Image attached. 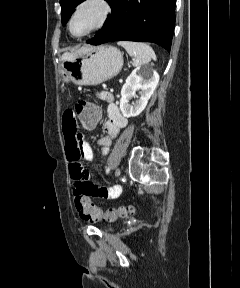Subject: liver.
<instances>
[{
	"instance_id": "obj_1",
	"label": "liver",
	"mask_w": 240,
	"mask_h": 288,
	"mask_svg": "<svg viewBox=\"0 0 240 288\" xmlns=\"http://www.w3.org/2000/svg\"><path fill=\"white\" fill-rule=\"evenodd\" d=\"M86 49H87V48L84 47V48L78 49V50H76V51H74V52H71V53H70V52H66V53H64V54L62 55L61 59H62L63 61H65V60H67V59H69V58H71V57H73V56H75V55H77V54L85 51Z\"/></svg>"
}]
</instances>
